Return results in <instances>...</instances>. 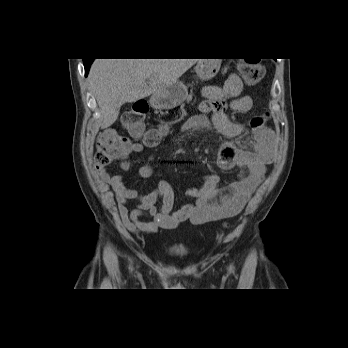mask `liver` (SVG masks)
I'll list each match as a JSON object with an SVG mask.
<instances>
[{"instance_id": "obj_1", "label": "liver", "mask_w": 348, "mask_h": 348, "mask_svg": "<svg viewBox=\"0 0 348 348\" xmlns=\"http://www.w3.org/2000/svg\"><path fill=\"white\" fill-rule=\"evenodd\" d=\"M199 59H95L88 75L100 108L102 128L118 118L121 106L154 95L178 79Z\"/></svg>"}]
</instances>
